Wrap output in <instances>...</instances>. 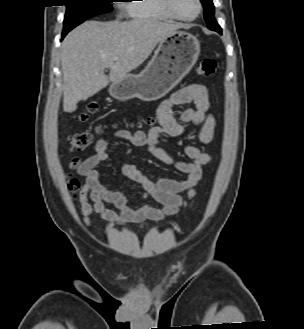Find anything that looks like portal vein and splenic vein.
Here are the masks:
<instances>
[{
    "instance_id": "portal-vein-and-splenic-vein-1",
    "label": "portal vein and splenic vein",
    "mask_w": 304,
    "mask_h": 329,
    "mask_svg": "<svg viewBox=\"0 0 304 329\" xmlns=\"http://www.w3.org/2000/svg\"><path fill=\"white\" fill-rule=\"evenodd\" d=\"M114 60H118V58H114Z\"/></svg>"
}]
</instances>
